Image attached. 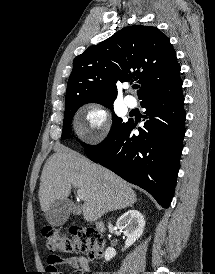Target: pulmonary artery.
I'll return each mask as SVG.
<instances>
[{"label":"pulmonary artery","instance_id":"pulmonary-artery-1","mask_svg":"<svg viewBox=\"0 0 215 274\" xmlns=\"http://www.w3.org/2000/svg\"><path fill=\"white\" fill-rule=\"evenodd\" d=\"M124 102L126 104L127 107L133 109L137 106V100L135 99V97L131 96V95H127L124 98Z\"/></svg>","mask_w":215,"mask_h":274}]
</instances>
